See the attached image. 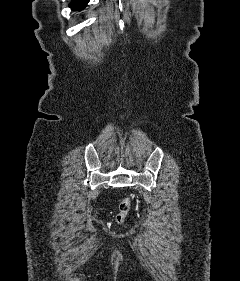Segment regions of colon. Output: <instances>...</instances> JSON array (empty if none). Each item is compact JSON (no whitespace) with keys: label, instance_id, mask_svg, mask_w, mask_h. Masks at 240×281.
<instances>
[{"label":"colon","instance_id":"colon-1","mask_svg":"<svg viewBox=\"0 0 240 281\" xmlns=\"http://www.w3.org/2000/svg\"><path fill=\"white\" fill-rule=\"evenodd\" d=\"M130 207H131V200L129 198L123 199L119 205V211L116 214V221L119 224H122L125 221V218L129 213Z\"/></svg>","mask_w":240,"mask_h":281}]
</instances>
